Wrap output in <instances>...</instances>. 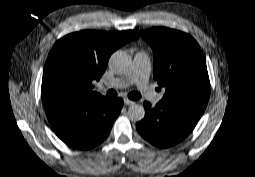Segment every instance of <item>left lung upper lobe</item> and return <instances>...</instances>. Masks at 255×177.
<instances>
[{
    "instance_id": "obj_1",
    "label": "left lung upper lobe",
    "mask_w": 255,
    "mask_h": 177,
    "mask_svg": "<svg viewBox=\"0 0 255 177\" xmlns=\"http://www.w3.org/2000/svg\"><path fill=\"white\" fill-rule=\"evenodd\" d=\"M140 34L154 51V78L167 87L163 100L205 109L210 83L197 42L188 34L164 27Z\"/></svg>"
}]
</instances>
